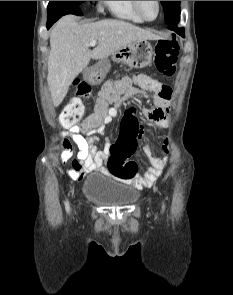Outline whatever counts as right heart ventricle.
<instances>
[{"label":"right heart ventricle","mask_w":233,"mask_h":295,"mask_svg":"<svg viewBox=\"0 0 233 295\" xmlns=\"http://www.w3.org/2000/svg\"><path fill=\"white\" fill-rule=\"evenodd\" d=\"M111 14L117 18L141 23L143 20L135 12L132 1H105Z\"/></svg>","instance_id":"1"}]
</instances>
